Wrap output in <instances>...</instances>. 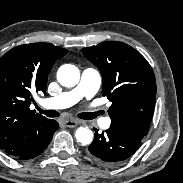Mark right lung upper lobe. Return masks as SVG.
Masks as SVG:
<instances>
[{
    "label": "right lung upper lobe",
    "mask_w": 183,
    "mask_h": 183,
    "mask_svg": "<svg viewBox=\"0 0 183 183\" xmlns=\"http://www.w3.org/2000/svg\"><path fill=\"white\" fill-rule=\"evenodd\" d=\"M67 50L45 43L15 47L0 58V147L11 156L26 152L31 133L48 119L29 106L46 92L48 74Z\"/></svg>",
    "instance_id": "obj_1"
}]
</instances>
